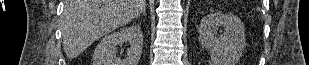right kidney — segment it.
<instances>
[{
    "mask_svg": "<svg viewBox=\"0 0 309 65\" xmlns=\"http://www.w3.org/2000/svg\"><path fill=\"white\" fill-rule=\"evenodd\" d=\"M129 43L125 59L117 57V46ZM143 47V34L139 27L130 26L105 36L93 54V65H137Z\"/></svg>",
    "mask_w": 309,
    "mask_h": 65,
    "instance_id": "ca27d5eb",
    "label": "right kidney"
}]
</instances>
